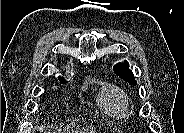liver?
I'll return each mask as SVG.
<instances>
[{"label":"liver","instance_id":"obj_1","mask_svg":"<svg viewBox=\"0 0 184 133\" xmlns=\"http://www.w3.org/2000/svg\"><path fill=\"white\" fill-rule=\"evenodd\" d=\"M90 133H95V131L91 130Z\"/></svg>","mask_w":184,"mask_h":133}]
</instances>
